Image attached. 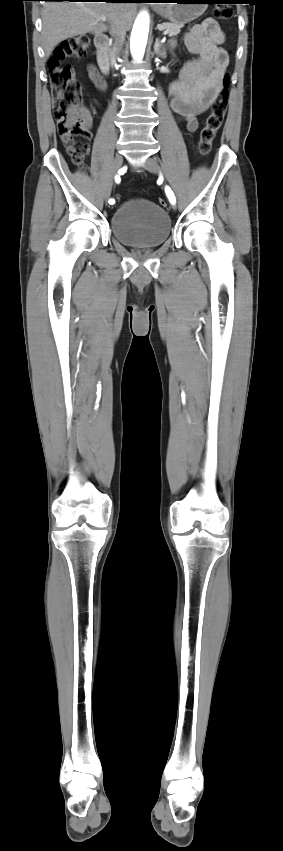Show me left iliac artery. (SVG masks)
<instances>
[{
	"mask_svg": "<svg viewBox=\"0 0 283 851\" xmlns=\"http://www.w3.org/2000/svg\"><path fill=\"white\" fill-rule=\"evenodd\" d=\"M165 192H166V195H167V197H168L169 201H170L172 204H175L176 199H175V195H174L173 191L171 190V188L167 186V187L165 188Z\"/></svg>",
	"mask_w": 283,
	"mask_h": 851,
	"instance_id": "left-iliac-artery-1",
	"label": "left iliac artery"
}]
</instances>
